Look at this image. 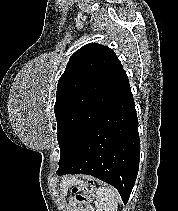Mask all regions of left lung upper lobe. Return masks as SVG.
<instances>
[{
	"label": "left lung upper lobe",
	"mask_w": 178,
	"mask_h": 211,
	"mask_svg": "<svg viewBox=\"0 0 178 211\" xmlns=\"http://www.w3.org/2000/svg\"><path fill=\"white\" fill-rule=\"evenodd\" d=\"M124 75L116 54L107 46L90 43L71 56L58 81L54 105L59 164L95 125Z\"/></svg>",
	"instance_id": "obj_1"
}]
</instances>
